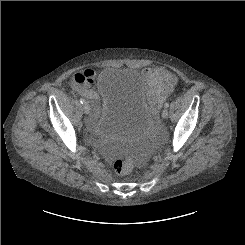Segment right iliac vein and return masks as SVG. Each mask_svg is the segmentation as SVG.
<instances>
[{"instance_id": "1", "label": "right iliac vein", "mask_w": 245, "mask_h": 245, "mask_svg": "<svg viewBox=\"0 0 245 245\" xmlns=\"http://www.w3.org/2000/svg\"><path fill=\"white\" fill-rule=\"evenodd\" d=\"M83 109L86 114L90 113V106L87 103L83 105Z\"/></svg>"}]
</instances>
